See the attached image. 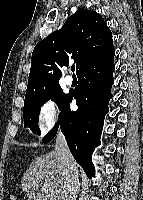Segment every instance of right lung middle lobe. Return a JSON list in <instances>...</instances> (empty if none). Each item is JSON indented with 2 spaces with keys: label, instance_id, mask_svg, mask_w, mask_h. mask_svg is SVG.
Masks as SVG:
<instances>
[{
  "label": "right lung middle lobe",
  "instance_id": "obj_1",
  "mask_svg": "<svg viewBox=\"0 0 143 200\" xmlns=\"http://www.w3.org/2000/svg\"><path fill=\"white\" fill-rule=\"evenodd\" d=\"M67 96L68 94L62 92L59 83L40 88L26 95L23 109L24 127H29L33 133L40 134L37 122L41 106L52 99L61 108Z\"/></svg>",
  "mask_w": 143,
  "mask_h": 200
}]
</instances>
